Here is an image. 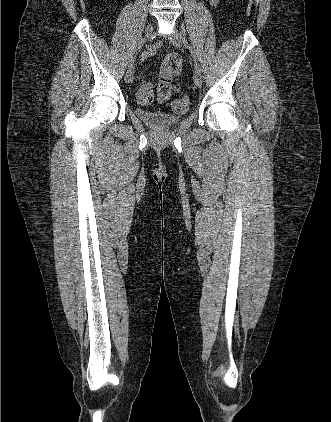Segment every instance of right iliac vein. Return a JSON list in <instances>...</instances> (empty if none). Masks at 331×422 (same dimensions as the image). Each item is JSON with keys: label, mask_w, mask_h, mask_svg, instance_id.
<instances>
[{"label": "right iliac vein", "mask_w": 331, "mask_h": 422, "mask_svg": "<svg viewBox=\"0 0 331 422\" xmlns=\"http://www.w3.org/2000/svg\"><path fill=\"white\" fill-rule=\"evenodd\" d=\"M153 31H154L153 24L149 23L147 25V28L145 30V35L143 38L145 42L148 41L152 37ZM133 75H134V67H130L125 74V78H124L125 82L130 83L133 80Z\"/></svg>", "instance_id": "1"}]
</instances>
